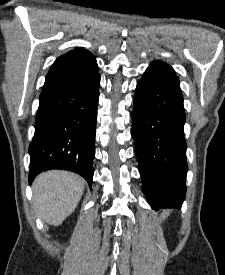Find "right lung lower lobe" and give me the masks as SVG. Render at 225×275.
I'll return each instance as SVG.
<instances>
[{"instance_id": "1", "label": "right lung lower lobe", "mask_w": 225, "mask_h": 275, "mask_svg": "<svg viewBox=\"0 0 225 275\" xmlns=\"http://www.w3.org/2000/svg\"><path fill=\"white\" fill-rule=\"evenodd\" d=\"M100 77L85 88L39 98L35 134L29 146V183L49 169L78 173L91 186Z\"/></svg>"}]
</instances>
